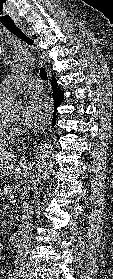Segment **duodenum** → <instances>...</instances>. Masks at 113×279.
<instances>
[{
    "label": "duodenum",
    "mask_w": 113,
    "mask_h": 279,
    "mask_svg": "<svg viewBox=\"0 0 113 279\" xmlns=\"http://www.w3.org/2000/svg\"><path fill=\"white\" fill-rule=\"evenodd\" d=\"M21 226L16 224L13 226L10 234V241L13 245L17 246L20 243Z\"/></svg>",
    "instance_id": "duodenum-1"
}]
</instances>
